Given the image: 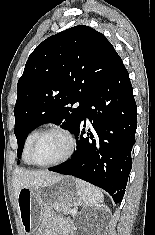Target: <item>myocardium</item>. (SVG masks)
Returning <instances> with one entry per match:
<instances>
[{
    "label": "myocardium",
    "instance_id": "obj_1",
    "mask_svg": "<svg viewBox=\"0 0 155 235\" xmlns=\"http://www.w3.org/2000/svg\"><path fill=\"white\" fill-rule=\"evenodd\" d=\"M50 132H58V133L63 134L68 141V150L66 154L57 161L46 163V164L37 163L34 161L32 157L34 146L45 134L50 133ZM75 150H76V138L74 134L72 133V131L65 126L55 124V125H51L40 130L39 133L35 136V138L33 139L28 149V160L30 161L32 165H35L37 167H45V168L54 167V166L61 165L67 162L68 160H70Z\"/></svg>",
    "mask_w": 155,
    "mask_h": 235
}]
</instances>
